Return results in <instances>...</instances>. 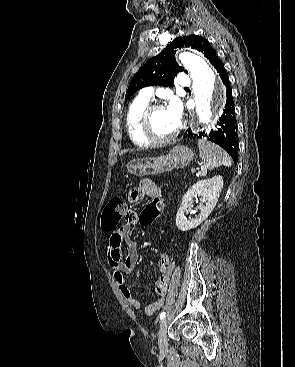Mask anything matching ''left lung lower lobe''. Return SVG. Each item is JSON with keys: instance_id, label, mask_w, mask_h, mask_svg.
Masks as SVG:
<instances>
[{"instance_id": "1", "label": "left lung lower lobe", "mask_w": 295, "mask_h": 367, "mask_svg": "<svg viewBox=\"0 0 295 367\" xmlns=\"http://www.w3.org/2000/svg\"><path fill=\"white\" fill-rule=\"evenodd\" d=\"M213 66L219 73V76L226 87V104L220 119L217 121V128L215 130H210L209 133H205L204 131L193 133L191 129H188L183 138L207 137L208 140L216 143L226 150L236 163L238 149L237 121L235 118V107L229 77L219 58L215 60Z\"/></svg>"}]
</instances>
